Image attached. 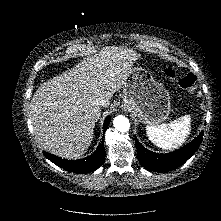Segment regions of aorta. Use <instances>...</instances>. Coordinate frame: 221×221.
<instances>
[{"label": "aorta", "mask_w": 221, "mask_h": 221, "mask_svg": "<svg viewBox=\"0 0 221 221\" xmlns=\"http://www.w3.org/2000/svg\"><path fill=\"white\" fill-rule=\"evenodd\" d=\"M113 125L120 132H127L130 128L129 119L123 115H118L113 120Z\"/></svg>", "instance_id": "aorta-1"}]
</instances>
